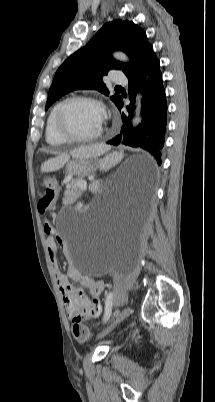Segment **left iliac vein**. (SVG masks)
<instances>
[{
  "label": "left iliac vein",
  "mask_w": 215,
  "mask_h": 402,
  "mask_svg": "<svg viewBox=\"0 0 215 402\" xmlns=\"http://www.w3.org/2000/svg\"><path fill=\"white\" fill-rule=\"evenodd\" d=\"M132 313V308L127 307L112 321V323L108 326V328L99 334L98 338H103L106 334H108L114 327H116L120 322H122L125 318H127Z\"/></svg>",
  "instance_id": "1"
}]
</instances>
